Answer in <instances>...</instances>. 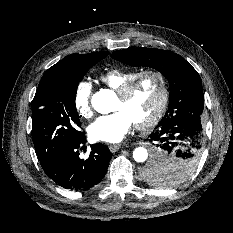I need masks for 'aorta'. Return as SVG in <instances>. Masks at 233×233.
<instances>
[{
    "label": "aorta",
    "mask_w": 233,
    "mask_h": 233,
    "mask_svg": "<svg viewBox=\"0 0 233 233\" xmlns=\"http://www.w3.org/2000/svg\"><path fill=\"white\" fill-rule=\"evenodd\" d=\"M115 95L111 90L101 89L93 94L91 98L92 107L101 114H108L112 111V101ZM133 158L136 162H145L148 158V151L144 147H138L133 151Z\"/></svg>",
    "instance_id": "aorta-1"
}]
</instances>
